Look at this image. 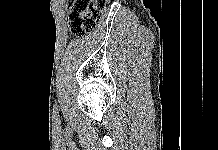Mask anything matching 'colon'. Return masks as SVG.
<instances>
[{
    "mask_svg": "<svg viewBox=\"0 0 218 150\" xmlns=\"http://www.w3.org/2000/svg\"><path fill=\"white\" fill-rule=\"evenodd\" d=\"M108 0H69L68 25L75 35L92 31L101 18Z\"/></svg>",
    "mask_w": 218,
    "mask_h": 150,
    "instance_id": "colon-1",
    "label": "colon"
}]
</instances>
